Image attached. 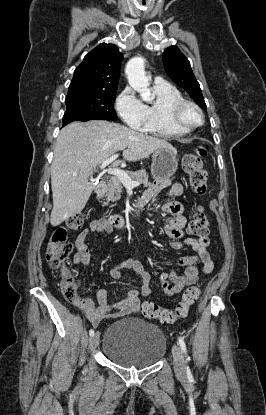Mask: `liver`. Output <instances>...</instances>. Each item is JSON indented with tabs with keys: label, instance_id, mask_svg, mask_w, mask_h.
Returning a JSON list of instances; mask_svg holds the SVG:
<instances>
[{
	"label": "liver",
	"instance_id": "1",
	"mask_svg": "<svg viewBox=\"0 0 266 415\" xmlns=\"http://www.w3.org/2000/svg\"><path fill=\"white\" fill-rule=\"evenodd\" d=\"M162 147L177 152L163 139L105 120L73 122L64 127L56 140L51 166V225L58 226L84 209L94 189L88 179L103 161L125 149L123 158L137 161ZM121 163L116 160L114 165Z\"/></svg>",
	"mask_w": 266,
	"mask_h": 415
}]
</instances>
